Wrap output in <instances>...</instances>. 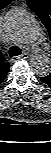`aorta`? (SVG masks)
Masks as SVG:
<instances>
[{
	"instance_id": "obj_1",
	"label": "aorta",
	"mask_w": 51,
	"mask_h": 153,
	"mask_svg": "<svg viewBox=\"0 0 51 153\" xmlns=\"http://www.w3.org/2000/svg\"><path fill=\"white\" fill-rule=\"evenodd\" d=\"M5 31L12 40L23 44H34L42 39V29L38 21L21 8L8 12ZM30 67L34 74L47 76L51 72V59L46 54H36L30 59Z\"/></svg>"
}]
</instances>
